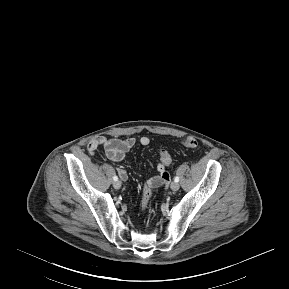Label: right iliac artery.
I'll return each mask as SVG.
<instances>
[{
    "label": "right iliac artery",
    "instance_id": "1",
    "mask_svg": "<svg viewBox=\"0 0 289 289\" xmlns=\"http://www.w3.org/2000/svg\"><path fill=\"white\" fill-rule=\"evenodd\" d=\"M113 180H114V181H118V177H117V176H114V177H113Z\"/></svg>",
    "mask_w": 289,
    "mask_h": 289
}]
</instances>
